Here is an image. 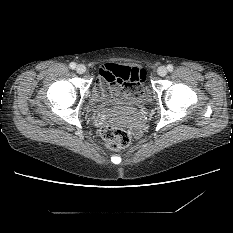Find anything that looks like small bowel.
Instances as JSON below:
<instances>
[{
    "label": "small bowel",
    "instance_id": "1",
    "mask_svg": "<svg viewBox=\"0 0 233 233\" xmlns=\"http://www.w3.org/2000/svg\"><path fill=\"white\" fill-rule=\"evenodd\" d=\"M119 68H127L132 77H136L138 81L141 80V71L137 67H129L121 64L106 62L100 67V76L96 80L95 93L97 96L104 93L105 88L121 89V85L112 79L115 71Z\"/></svg>",
    "mask_w": 233,
    "mask_h": 233
}]
</instances>
